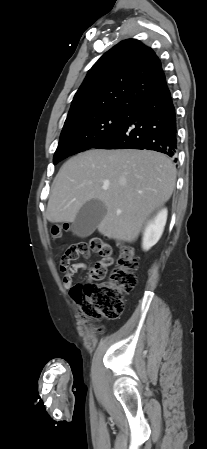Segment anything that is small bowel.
<instances>
[{
	"label": "small bowel",
	"instance_id": "c3829d8e",
	"mask_svg": "<svg viewBox=\"0 0 207 449\" xmlns=\"http://www.w3.org/2000/svg\"><path fill=\"white\" fill-rule=\"evenodd\" d=\"M61 271L63 272L62 284L64 288H69L73 283V276L80 270H85L87 268L85 263H74L66 267L61 266ZM93 270V269H92ZM92 270L90 271V278H92Z\"/></svg>",
	"mask_w": 207,
	"mask_h": 449
}]
</instances>
